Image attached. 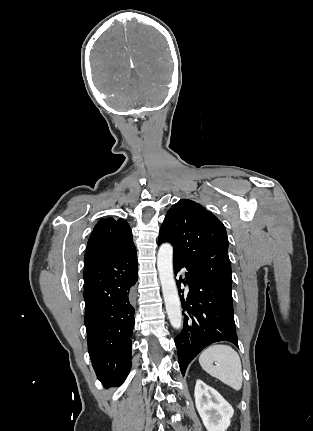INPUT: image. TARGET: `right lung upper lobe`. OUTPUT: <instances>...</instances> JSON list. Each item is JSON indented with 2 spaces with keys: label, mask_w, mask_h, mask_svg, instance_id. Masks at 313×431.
<instances>
[{
  "label": "right lung upper lobe",
  "mask_w": 313,
  "mask_h": 431,
  "mask_svg": "<svg viewBox=\"0 0 313 431\" xmlns=\"http://www.w3.org/2000/svg\"><path fill=\"white\" fill-rule=\"evenodd\" d=\"M135 247L132 232L123 219H101L93 229L88 240L85 263L95 262L117 256L127 249Z\"/></svg>",
  "instance_id": "right-lung-upper-lobe-1"
}]
</instances>
